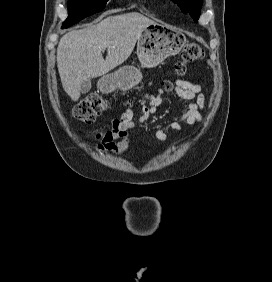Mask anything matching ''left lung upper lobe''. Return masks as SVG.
Here are the masks:
<instances>
[{"label": "left lung upper lobe", "mask_w": 272, "mask_h": 282, "mask_svg": "<svg viewBox=\"0 0 272 282\" xmlns=\"http://www.w3.org/2000/svg\"><path fill=\"white\" fill-rule=\"evenodd\" d=\"M177 3L184 13H189L191 17L197 22L200 16L202 7V0H172Z\"/></svg>", "instance_id": "1"}]
</instances>
